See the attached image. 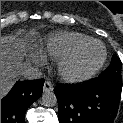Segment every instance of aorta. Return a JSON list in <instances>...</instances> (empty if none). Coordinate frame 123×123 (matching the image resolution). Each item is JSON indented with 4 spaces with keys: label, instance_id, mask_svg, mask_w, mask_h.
<instances>
[{
    "label": "aorta",
    "instance_id": "aorta-1",
    "mask_svg": "<svg viewBox=\"0 0 123 123\" xmlns=\"http://www.w3.org/2000/svg\"><path fill=\"white\" fill-rule=\"evenodd\" d=\"M42 105L46 107H53L57 104L56 95L51 91H46L41 96Z\"/></svg>",
    "mask_w": 123,
    "mask_h": 123
}]
</instances>
